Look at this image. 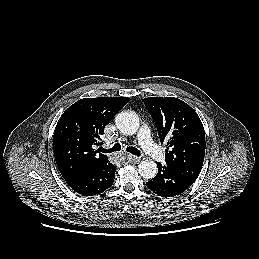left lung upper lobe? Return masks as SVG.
<instances>
[{
  "instance_id": "left-lung-upper-lobe-1",
  "label": "left lung upper lobe",
  "mask_w": 259,
  "mask_h": 259,
  "mask_svg": "<svg viewBox=\"0 0 259 259\" xmlns=\"http://www.w3.org/2000/svg\"><path fill=\"white\" fill-rule=\"evenodd\" d=\"M143 101L155 122L160 142L167 144L166 166L194 183L203 165L206 146L199 116L174 97H148Z\"/></svg>"
}]
</instances>
